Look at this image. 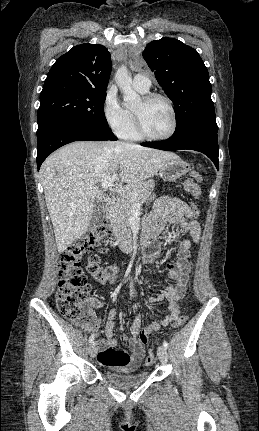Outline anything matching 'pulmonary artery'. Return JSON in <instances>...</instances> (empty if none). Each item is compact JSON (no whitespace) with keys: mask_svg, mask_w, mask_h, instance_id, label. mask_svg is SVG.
Returning a JSON list of instances; mask_svg holds the SVG:
<instances>
[{"mask_svg":"<svg viewBox=\"0 0 259 431\" xmlns=\"http://www.w3.org/2000/svg\"><path fill=\"white\" fill-rule=\"evenodd\" d=\"M133 86L138 91L146 92L151 86L150 78L145 74H137L133 78Z\"/></svg>","mask_w":259,"mask_h":431,"instance_id":"obj_1","label":"pulmonary artery"}]
</instances>
